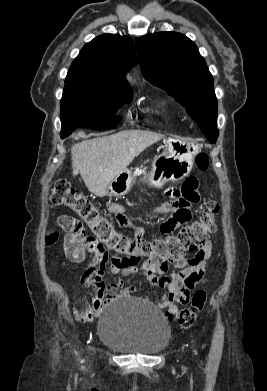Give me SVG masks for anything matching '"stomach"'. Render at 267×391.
Here are the masks:
<instances>
[{"label": "stomach", "instance_id": "0dacf381", "mask_svg": "<svg viewBox=\"0 0 267 391\" xmlns=\"http://www.w3.org/2000/svg\"><path fill=\"white\" fill-rule=\"evenodd\" d=\"M162 154L155 157L151 163L148 181L155 187L161 188L170 180L179 181L187 176L194 164V158L200 151L195 142L169 138L164 141ZM133 175L131 170L120 172L107 186L105 195L121 197L132 187Z\"/></svg>", "mask_w": 267, "mask_h": 391}]
</instances>
